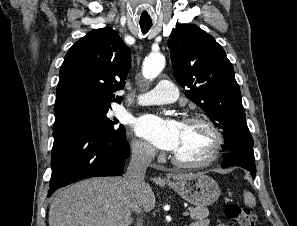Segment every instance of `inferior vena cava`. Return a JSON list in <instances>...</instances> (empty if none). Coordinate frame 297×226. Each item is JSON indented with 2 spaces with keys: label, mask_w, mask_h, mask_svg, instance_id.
<instances>
[{
  "label": "inferior vena cava",
  "mask_w": 297,
  "mask_h": 226,
  "mask_svg": "<svg viewBox=\"0 0 297 226\" xmlns=\"http://www.w3.org/2000/svg\"><path fill=\"white\" fill-rule=\"evenodd\" d=\"M155 151L152 147L144 144H136L132 148V157L124 174L123 181L129 194L130 206L133 212L140 214L141 190L145 185L144 177L146 169L151 163ZM142 220L138 219L136 226H142Z\"/></svg>",
  "instance_id": "1"
}]
</instances>
